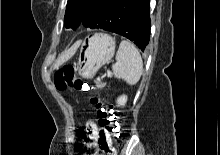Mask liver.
I'll list each match as a JSON object with an SVG mask.
<instances>
[{"label": "liver", "instance_id": "1", "mask_svg": "<svg viewBox=\"0 0 220 155\" xmlns=\"http://www.w3.org/2000/svg\"><path fill=\"white\" fill-rule=\"evenodd\" d=\"M81 42H77L71 49L64 52L57 60L56 64L54 65V68H58L61 64L69 60L77 51L78 47L80 46Z\"/></svg>", "mask_w": 220, "mask_h": 155}]
</instances>
